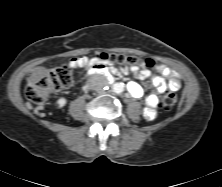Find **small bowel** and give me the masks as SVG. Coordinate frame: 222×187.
I'll use <instances>...</instances> for the list:
<instances>
[{"instance_id": "c3829d8e", "label": "small bowel", "mask_w": 222, "mask_h": 187, "mask_svg": "<svg viewBox=\"0 0 222 187\" xmlns=\"http://www.w3.org/2000/svg\"><path fill=\"white\" fill-rule=\"evenodd\" d=\"M109 64L106 63L104 65L108 66ZM97 65H99V62L96 59L86 56L74 58L70 62V68L77 71L84 68H96ZM120 70L124 74L133 73L138 80H149L155 88V93L148 95L145 99L144 116L148 120H153L156 117L158 95L166 90L177 91L181 87L179 75L166 65H155L152 68L124 66ZM154 72H157L158 75L154 74ZM128 92L135 98L141 97L144 93L143 88L135 81L128 84Z\"/></svg>"}]
</instances>
